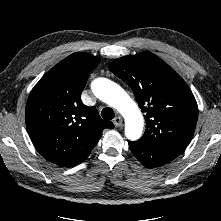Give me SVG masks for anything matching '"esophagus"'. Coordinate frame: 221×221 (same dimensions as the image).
<instances>
[{"label": "esophagus", "instance_id": "esophagus-1", "mask_svg": "<svg viewBox=\"0 0 221 221\" xmlns=\"http://www.w3.org/2000/svg\"><path fill=\"white\" fill-rule=\"evenodd\" d=\"M113 123L115 125V127H120L122 126V123H123V119L121 116H117L113 119Z\"/></svg>", "mask_w": 221, "mask_h": 221}]
</instances>
